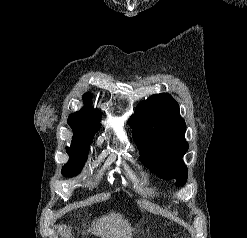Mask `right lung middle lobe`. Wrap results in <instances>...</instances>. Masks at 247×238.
Returning <instances> with one entry per match:
<instances>
[{
  "label": "right lung middle lobe",
  "mask_w": 247,
  "mask_h": 238,
  "mask_svg": "<svg viewBox=\"0 0 247 238\" xmlns=\"http://www.w3.org/2000/svg\"><path fill=\"white\" fill-rule=\"evenodd\" d=\"M88 149L89 146L81 144H71L70 147H66L70 160L62 169L64 176L73 177L81 171L88 155Z\"/></svg>",
  "instance_id": "dd1d6c3e"
}]
</instances>
